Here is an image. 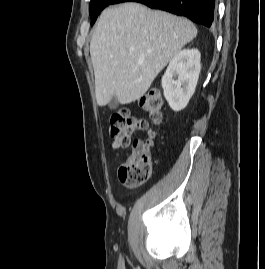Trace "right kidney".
<instances>
[{
    "instance_id": "1",
    "label": "right kidney",
    "mask_w": 265,
    "mask_h": 269,
    "mask_svg": "<svg viewBox=\"0 0 265 269\" xmlns=\"http://www.w3.org/2000/svg\"><path fill=\"white\" fill-rule=\"evenodd\" d=\"M200 57L198 49H183L170 61L162 77V88L172 110L184 109L194 94L201 70Z\"/></svg>"
}]
</instances>
